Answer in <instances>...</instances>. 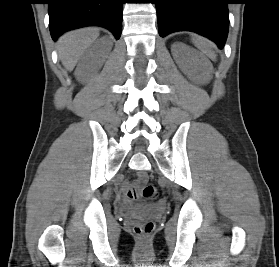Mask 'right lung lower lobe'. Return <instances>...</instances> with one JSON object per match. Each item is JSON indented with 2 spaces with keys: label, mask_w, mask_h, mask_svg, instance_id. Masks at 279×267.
<instances>
[{
  "label": "right lung lower lobe",
  "mask_w": 279,
  "mask_h": 267,
  "mask_svg": "<svg viewBox=\"0 0 279 267\" xmlns=\"http://www.w3.org/2000/svg\"><path fill=\"white\" fill-rule=\"evenodd\" d=\"M47 3L53 40L84 26H102L116 39L120 38L123 0H48Z\"/></svg>",
  "instance_id": "98d812e1"
}]
</instances>
